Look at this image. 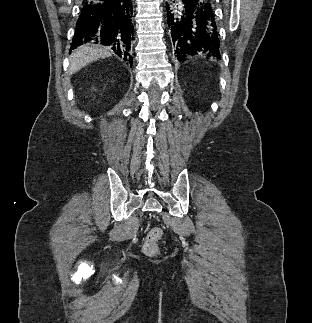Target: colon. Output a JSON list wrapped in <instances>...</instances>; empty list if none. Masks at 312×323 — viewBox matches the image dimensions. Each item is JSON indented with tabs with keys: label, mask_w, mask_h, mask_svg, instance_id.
Returning <instances> with one entry per match:
<instances>
[{
	"label": "colon",
	"mask_w": 312,
	"mask_h": 323,
	"mask_svg": "<svg viewBox=\"0 0 312 323\" xmlns=\"http://www.w3.org/2000/svg\"><path fill=\"white\" fill-rule=\"evenodd\" d=\"M162 236V231L152 230L144 240L143 250L147 254L155 255L158 253V238Z\"/></svg>",
	"instance_id": "1"
}]
</instances>
